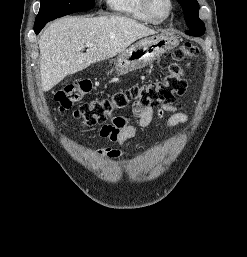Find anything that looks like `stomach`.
Here are the masks:
<instances>
[{"label": "stomach", "instance_id": "1", "mask_svg": "<svg viewBox=\"0 0 247 257\" xmlns=\"http://www.w3.org/2000/svg\"><path fill=\"white\" fill-rule=\"evenodd\" d=\"M178 45V39L172 34H162L144 38L125 51L119 53L115 68L120 74L141 69L169 50Z\"/></svg>", "mask_w": 247, "mask_h": 257}]
</instances>
